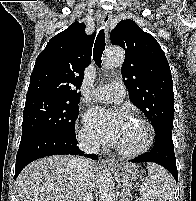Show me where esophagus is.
<instances>
[{"mask_svg":"<svg viewBox=\"0 0 196 201\" xmlns=\"http://www.w3.org/2000/svg\"><path fill=\"white\" fill-rule=\"evenodd\" d=\"M110 19H111V12L105 11L102 15V24H103V27L105 29V35L106 36H108V26H109ZM106 162L110 165L116 164V161L113 159L107 158Z\"/></svg>","mask_w":196,"mask_h":201,"instance_id":"34e87169","label":"esophagus"}]
</instances>
